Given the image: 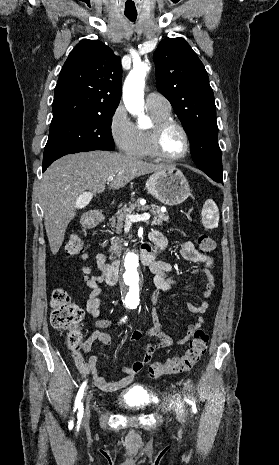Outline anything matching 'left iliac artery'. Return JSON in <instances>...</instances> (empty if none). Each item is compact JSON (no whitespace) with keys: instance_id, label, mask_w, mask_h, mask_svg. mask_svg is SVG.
<instances>
[{"instance_id":"1","label":"left iliac artery","mask_w":279,"mask_h":465,"mask_svg":"<svg viewBox=\"0 0 279 465\" xmlns=\"http://www.w3.org/2000/svg\"><path fill=\"white\" fill-rule=\"evenodd\" d=\"M185 400L188 401V402H190V403H192L191 401L187 400V398H185Z\"/></svg>"}]
</instances>
